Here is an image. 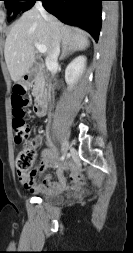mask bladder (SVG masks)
<instances>
[{"label":"bladder","instance_id":"31cf9c89","mask_svg":"<svg viewBox=\"0 0 133 253\" xmlns=\"http://www.w3.org/2000/svg\"><path fill=\"white\" fill-rule=\"evenodd\" d=\"M40 197L48 202V203H52V204H61L64 200L62 195L59 194H53V193H43L40 195Z\"/></svg>","mask_w":133,"mask_h":253}]
</instances>
